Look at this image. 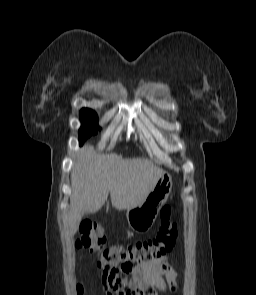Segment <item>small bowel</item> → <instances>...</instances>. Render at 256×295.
Returning <instances> with one entry per match:
<instances>
[{
    "mask_svg": "<svg viewBox=\"0 0 256 295\" xmlns=\"http://www.w3.org/2000/svg\"><path fill=\"white\" fill-rule=\"evenodd\" d=\"M178 278L171 263L158 259L128 271H102L100 282L106 295H159L166 286L174 290Z\"/></svg>",
    "mask_w": 256,
    "mask_h": 295,
    "instance_id": "obj_1",
    "label": "small bowel"
}]
</instances>
